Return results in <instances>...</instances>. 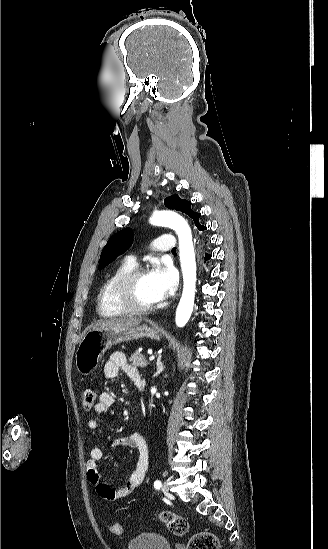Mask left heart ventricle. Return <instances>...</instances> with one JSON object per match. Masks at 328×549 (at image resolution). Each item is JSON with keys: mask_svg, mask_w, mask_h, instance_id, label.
Masks as SVG:
<instances>
[{"mask_svg": "<svg viewBox=\"0 0 328 549\" xmlns=\"http://www.w3.org/2000/svg\"><path fill=\"white\" fill-rule=\"evenodd\" d=\"M157 266L158 265H155L152 268L154 269ZM131 295L135 300L141 303V305H136V306L148 305V304L157 302V299L154 297L153 290H152L150 273L139 277L133 283L131 288Z\"/></svg>", "mask_w": 328, "mask_h": 549, "instance_id": "1", "label": "left heart ventricle"}]
</instances>
